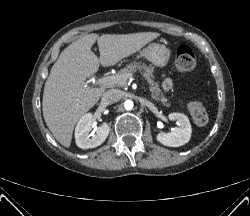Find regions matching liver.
<instances>
[{"label":"liver","instance_id":"6515ba94","mask_svg":"<svg viewBox=\"0 0 250 216\" xmlns=\"http://www.w3.org/2000/svg\"><path fill=\"white\" fill-rule=\"evenodd\" d=\"M158 37L155 32L89 34L61 52L46 80L42 100L44 120L61 145L70 147L75 124L105 91L104 87L86 86V79L98 71L100 64L113 66ZM96 41L100 59L91 50Z\"/></svg>","mask_w":250,"mask_h":216}]
</instances>
